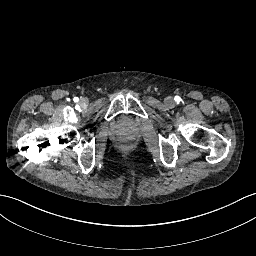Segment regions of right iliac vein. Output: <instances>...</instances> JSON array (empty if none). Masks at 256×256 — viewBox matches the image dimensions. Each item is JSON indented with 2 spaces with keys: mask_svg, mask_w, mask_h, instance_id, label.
Masks as SVG:
<instances>
[{
  "mask_svg": "<svg viewBox=\"0 0 256 256\" xmlns=\"http://www.w3.org/2000/svg\"><path fill=\"white\" fill-rule=\"evenodd\" d=\"M86 102H87L86 99H81V100H80V104H81L82 106H84V105L86 104Z\"/></svg>",
  "mask_w": 256,
  "mask_h": 256,
  "instance_id": "1",
  "label": "right iliac vein"
}]
</instances>
